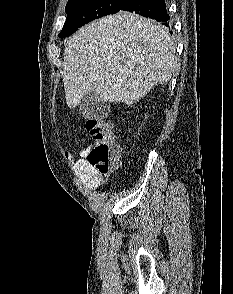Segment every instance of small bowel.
Segmentation results:
<instances>
[{
  "label": "small bowel",
  "instance_id": "small-bowel-1",
  "mask_svg": "<svg viewBox=\"0 0 233 294\" xmlns=\"http://www.w3.org/2000/svg\"><path fill=\"white\" fill-rule=\"evenodd\" d=\"M88 149L82 150L81 158L75 163V167L81 172L90 188L98 187L103 182V176L97 173L88 163Z\"/></svg>",
  "mask_w": 233,
  "mask_h": 294
}]
</instances>
